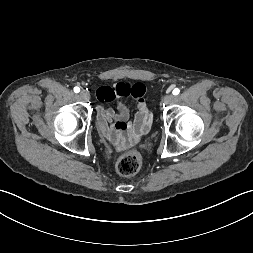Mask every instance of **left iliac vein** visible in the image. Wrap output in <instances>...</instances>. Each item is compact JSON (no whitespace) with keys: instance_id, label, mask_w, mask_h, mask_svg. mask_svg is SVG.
<instances>
[{"instance_id":"1","label":"left iliac vein","mask_w":253,"mask_h":253,"mask_svg":"<svg viewBox=\"0 0 253 253\" xmlns=\"http://www.w3.org/2000/svg\"><path fill=\"white\" fill-rule=\"evenodd\" d=\"M173 100V95L172 94H167L163 97V103L165 105H168L171 103V101Z\"/></svg>"}]
</instances>
